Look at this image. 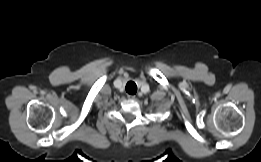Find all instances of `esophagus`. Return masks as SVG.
I'll list each match as a JSON object with an SVG mask.
<instances>
[{"label": "esophagus", "mask_w": 261, "mask_h": 162, "mask_svg": "<svg viewBox=\"0 0 261 162\" xmlns=\"http://www.w3.org/2000/svg\"><path fill=\"white\" fill-rule=\"evenodd\" d=\"M127 97H128L129 99H132V100L135 99V96H134V95H128Z\"/></svg>", "instance_id": "34e87169"}]
</instances>
